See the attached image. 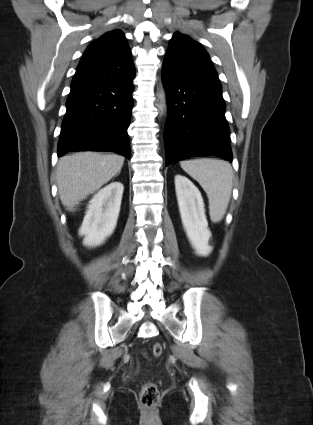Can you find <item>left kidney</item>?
Listing matches in <instances>:
<instances>
[{
  "mask_svg": "<svg viewBox=\"0 0 313 425\" xmlns=\"http://www.w3.org/2000/svg\"><path fill=\"white\" fill-rule=\"evenodd\" d=\"M175 191L182 224L187 237L199 256H208L211 232L205 216L203 198L198 188L185 176H175Z\"/></svg>",
  "mask_w": 313,
  "mask_h": 425,
  "instance_id": "obj_1",
  "label": "left kidney"
}]
</instances>
